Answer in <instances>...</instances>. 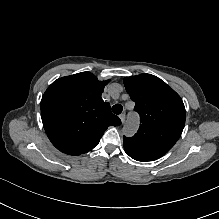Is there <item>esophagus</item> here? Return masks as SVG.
Instances as JSON below:
<instances>
[{"label":"esophagus","instance_id":"esophagus-1","mask_svg":"<svg viewBox=\"0 0 219 219\" xmlns=\"http://www.w3.org/2000/svg\"><path fill=\"white\" fill-rule=\"evenodd\" d=\"M119 118H120L121 122L124 123V121H125V113H121L119 115Z\"/></svg>","mask_w":219,"mask_h":219}]
</instances>
